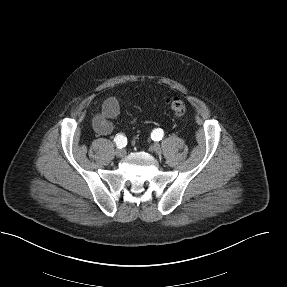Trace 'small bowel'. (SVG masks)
I'll use <instances>...</instances> for the list:
<instances>
[{"label":"small bowel","instance_id":"small-bowel-1","mask_svg":"<svg viewBox=\"0 0 287 287\" xmlns=\"http://www.w3.org/2000/svg\"><path fill=\"white\" fill-rule=\"evenodd\" d=\"M121 109V101L116 97L108 98L102 106V109L97 113L92 125L95 132L99 135H109L115 127V120L118 118Z\"/></svg>","mask_w":287,"mask_h":287}]
</instances>
